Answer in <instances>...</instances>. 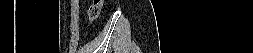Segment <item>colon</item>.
Wrapping results in <instances>:
<instances>
[{"label": "colon", "instance_id": "5ec220e1", "mask_svg": "<svg viewBox=\"0 0 253 53\" xmlns=\"http://www.w3.org/2000/svg\"><path fill=\"white\" fill-rule=\"evenodd\" d=\"M103 0H93L87 10L89 22L92 23L100 14Z\"/></svg>", "mask_w": 253, "mask_h": 53}]
</instances>
